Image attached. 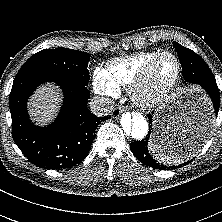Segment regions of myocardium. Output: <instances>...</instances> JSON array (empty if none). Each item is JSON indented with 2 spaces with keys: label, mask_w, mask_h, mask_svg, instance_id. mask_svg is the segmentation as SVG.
I'll list each match as a JSON object with an SVG mask.
<instances>
[{
  "label": "myocardium",
  "mask_w": 222,
  "mask_h": 222,
  "mask_svg": "<svg viewBox=\"0 0 222 222\" xmlns=\"http://www.w3.org/2000/svg\"><path fill=\"white\" fill-rule=\"evenodd\" d=\"M164 57H171L176 62V72L174 77L164 86L155 91H149L147 85L151 78L155 65ZM182 73V65L179 58L172 52L164 51L156 55L143 68L137 78L130 86V95L134 102L144 108H151L165 100L174 90L180 80Z\"/></svg>",
  "instance_id": "myocardium-1"
}]
</instances>
